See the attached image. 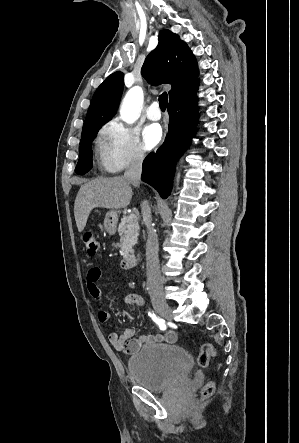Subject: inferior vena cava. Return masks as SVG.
Masks as SVG:
<instances>
[{"instance_id": "inferior-vena-cava-1", "label": "inferior vena cava", "mask_w": 299, "mask_h": 443, "mask_svg": "<svg viewBox=\"0 0 299 443\" xmlns=\"http://www.w3.org/2000/svg\"><path fill=\"white\" fill-rule=\"evenodd\" d=\"M144 155L136 154L130 162L128 168L124 173V179L128 180L134 187L140 184V177L142 172V163ZM141 212L143 222L147 227L148 239L146 242V259H147V284L149 294L151 297L163 296V280L159 270L158 251L159 244L157 234L152 227L151 210L147 201L141 204Z\"/></svg>"}]
</instances>
